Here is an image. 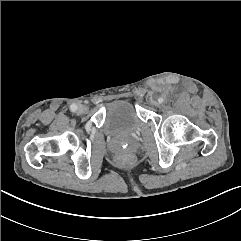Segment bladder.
<instances>
[{
    "label": "bladder",
    "mask_w": 241,
    "mask_h": 241,
    "mask_svg": "<svg viewBox=\"0 0 241 241\" xmlns=\"http://www.w3.org/2000/svg\"><path fill=\"white\" fill-rule=\"evenodd\" d=\"M142 127V121L128 101L115 100L105 107L102 130L107 137L118 140L131 139Z\"/></svg>",
    "instance_id": "31cf9c89"
}]
</instances>
